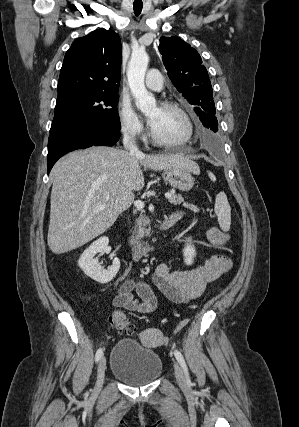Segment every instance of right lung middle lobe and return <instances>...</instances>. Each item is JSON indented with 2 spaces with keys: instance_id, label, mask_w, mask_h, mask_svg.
Returning a JSON list of instances; mask_svg holds the SVG:
<instances>
[{
  "instance_id": "obj_1",
  "label": "right lung middle lobe",
  "mask_w": 299,
  "mask_h": 427,
  "mask_svg": "<svg viewBox=\"0 0 299 427\" xmlns=\"http://www.w3.org/2000/svg\"><path fill=\"white\" fill-rule=\"evenodd\" d=\"M118 98V91L86 92L57 100L50 132L75 124L120 130Z\"/></svg>"
}]
</instances>
